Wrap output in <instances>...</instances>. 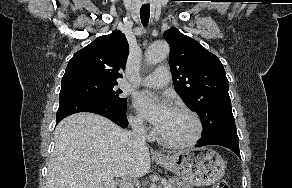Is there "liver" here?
Here are the masks:
<instances>
[{
	"mask_svg": "<svg viewBox=\"0 0 292 188\" xmlns=\"http://www.w3.org/2000/svg\"><path fill=\"white\" fill-rule=\"evenodd\" d=\"M126 134L93 113L81 112L63 119L54 133L47 188H110L115 177L147 174L149 149L131 147Z\"/></svg>",
	"mask_w": 292,
	"mask_h": 188,
	"instance_id": "1",
	"label": "liver"
}]
</instances>
